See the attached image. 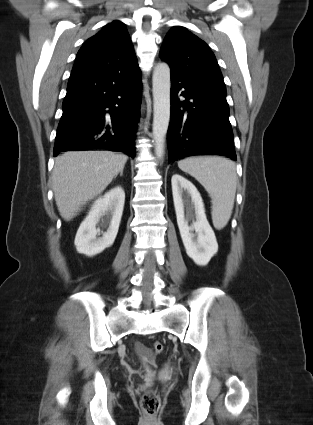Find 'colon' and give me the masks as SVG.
<instances>
[{"label":"colon","mask_w":313,"mask_h":425,"mask_svg":"<svg viewBox=\"0 0 313 425\" xmlns=\"http://www.w3.org/2000/svg\"><path fill=\"white\" fill-rule=\"evenodd\" d=\"M153 351L156 354H160L163 351V344L159 341L154 342ZM140 406L147 417H155L160 408V398L157 392L154 390L146 391L141 398Z\"/></svg>","instance_id":"colon-1"}]
</instances>
